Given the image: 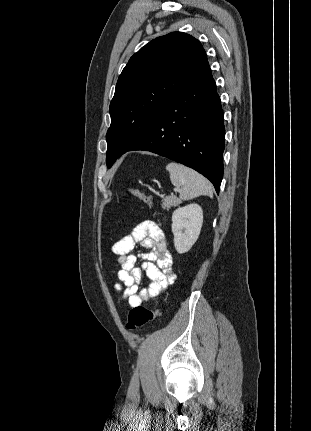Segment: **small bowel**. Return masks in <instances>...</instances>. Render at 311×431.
Here are the masks:
<instances>
[{"label":"small bowel","instance_id":"c3829d8e","mask_svg":"<svg viewBox=\"0 0 311 431\" xmlns=\"http://www.w3.org/2000/svg\"><path fill=\"white\" fill-rule=\"evenodd\" d=\"M137 244L151 249L142 255L145 262L141 267L136 266L137 257L132 254ZM112 251L120 264L115 288L133 308L144 301L157 299L175 280L164 232L155 221L140 222L131 233L113 245ZM143 273L151 282L147 288L139 289Z\"/></svg>","mask_w":311,"mask_h":431}]
</instances>
